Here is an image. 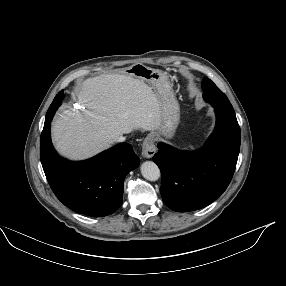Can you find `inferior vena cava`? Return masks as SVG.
<instances>
[{"mask_svg": "<svg viewBox=\"0 0 286 286\" xmlns=\"http://www.w3.org/2000/svg\"><path fill=\"white\" fill-rule=\"evenodd\" d=\"M125 137H123L122 135H120V136H118V137H116L115 139H114V142H124L125 141Z\"/></svg>", "mask_w": 286, "mask_h": 286, "instance_id": "obj_1", "label": "inferior vena cava"}]
</instances>
